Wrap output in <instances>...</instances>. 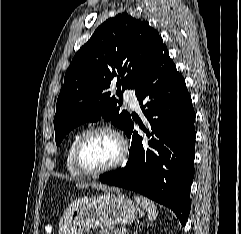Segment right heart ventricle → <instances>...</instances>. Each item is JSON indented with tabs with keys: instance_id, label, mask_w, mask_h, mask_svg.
Masks as SVG:
<instances>
[{
	"instance_id": "e07e8e85",
	"label": "right heart ventricle",
	"mask_w": 241,
	"mask_h": 234,
	"mask_svg": "<svg viewBox=\"0 0 241 234\" xmlns=\"http://www.w3.org/2000/svg\"><path fill=\"white\" fill-rule=\"evenodd\" d=\"M82 134L83 132H77L72 136L66 151L65 166L67 171L74 177L82 176V174L76 169L73 160V152L75 145Z\"/></svg>"
}]
</instances>
